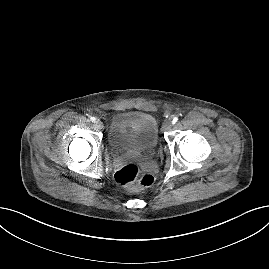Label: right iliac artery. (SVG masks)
<instances>
[{"instance_id": "right-iliac-artery-1", "label": "right iliac artery", "mask_w": 269, "mask_h": 269, "mask_svg": "<svg viewBox=\"0 0 269 269\" xmlns=\"http://www.w3.org/2000/svg\"><path fill=\"white\" fill-rule=\"evenodd\" d=\"M90 120H91L92 122H95V121H96V118H95V117H91Z\"/></svg>"}]
</instances>
